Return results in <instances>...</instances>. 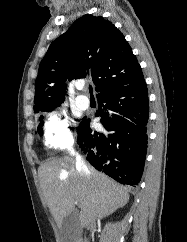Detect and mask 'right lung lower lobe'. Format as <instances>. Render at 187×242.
<instances>
[{"instance_id":"1","label":"right lung lower lobe","mask_w":187,"mask_h":242,"mask_svg":"<svg viewBox=\"0 0 187 242\" xmlns=\"http://www.w3.org/2000/svg\"><path fill=\"white\" fill-rule=\"evenodd\" d=\"M106 133L92 132L84 118L77 133L79 148L99 171L122 184L140 182L147 150L148 92L143 75L97 96Z\"/></svg>"}]
</instances>
